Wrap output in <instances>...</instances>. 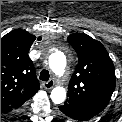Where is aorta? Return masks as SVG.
Returning a JSON list of instances; mask_svg holds the SVG:
<instances>
[{"instance_id":"1","label":"aorta","mask_w":122,"mask_h":122,"mask_svg":"<svg viewBox=\"0 0 122 122\" xmlns=\"http://www.w3.org/2000/svg\"><path fill=\"white\" fill-rule=\"evenodd\" d=\"M49 67L58 76H62L66 68V56L62 52H55L49 56ZM66 99V90L63 87H55L51 91V100L55 104H61Z\"/></svg>"}]
</instances>
